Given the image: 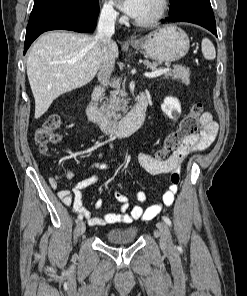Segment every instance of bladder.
I'll return each instance as SVG.
<instances>
[{
    "instance_id": "bladder-1",
    "label": "bladder",
    "mask_w": 247,
    "mask_h": 296,
    "mask_svg": "<svg viewBox=\"0 0 247 296\" xmlns=\"http://www.w3.org/2000/svg\"><path fill=\"white\" fill-rule=\"evenodd\" d=\"M138 228L128 226L123 228H114L106 233V241L112 244L129 243L135 240Z\"/></svg>"
}]
</instances>
